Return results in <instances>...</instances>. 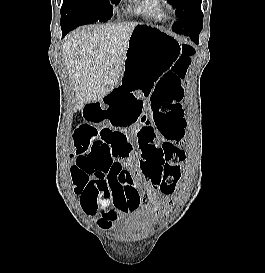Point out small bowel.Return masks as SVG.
<instances>
[{"instance_id": "small-bowel-1", "label": "small bowel", "mask_w": 265, "mask_h": 273, "mask_svg": "<svg viewBox=\"0 0 265 273\" xmlns=\"http://www.w3.org/2000/svg\"><path fill=\"white\" fill-rule=\"evenodd\" d=\"M144 103L134 91H111L103 102L85 103L88 109H84L83 119L88 123H114V128L111 124H74V129L116 132L108 146L110 165L104 173L94 176L98 182L97 194L80 193L82 211L90 218L98 216V226L104 230L141 205L156 214L161 212L155 204L151 178L166 164V159H160L157 154L163 139L151 125H134L139 123ZM133 135L137 136L136 143Z\"/></svg>"}]
</instances>
